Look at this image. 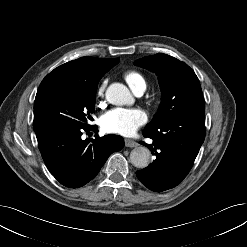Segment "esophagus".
<instances>
[{"instance_id":"34e87169","label":"esophagus","mask_w":247,"mask_h":247,"mask_svg":"<svg viewBox=\"0 0 247 247\" xmlns=\"http://www.w3.org/2000/svg\"><path fill=\"white\" fill-rule=\"evenodd\" d=\"M125 146L126 147H137L138 143L132 139H125Z\"/></svg>"}]
</instances>
